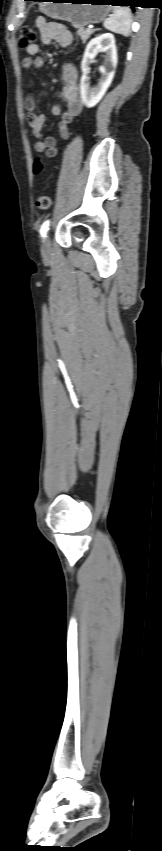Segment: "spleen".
Segmentation results:
<instances>
[{
	"mask_svg": "<svg viewBox=\"0 0 162 851\" xmlns=\"http://www.w3.org/2000/svg\"><path fill=\"white\" fill-rule=\"evenodd\" d=\"M103 26L114 33L128 37L131 33V11L128 7H114L113 14L105 19Z\"/></svg>",
	"mask_w": 162,
	"mask_h": 851,
	"instance_id": "obj_1",
	"label": "spleen"
}]
</instances>
